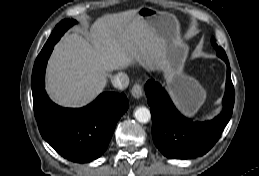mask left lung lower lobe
Segmentation results:
<instances>
[{"label": "left lung lower lobe", "instance_id": "obj_1", "mask_svg": "<svg viewBox=\"0 0 259 176\" xmlns=\"http://www.w3.org/2000/svg\"><path fill=\"white\" fill-rule=\"evenodd\" d=\"M223 110L213 120L193 122L181 115L165 89L154 80L145 85L152 116V136L156 147L169 158L190 159L207 153L228 124L234 106L235 92L228 58Z\"/></svg>", "mask_w": 259, "mask_h": 176}]
</instances>
